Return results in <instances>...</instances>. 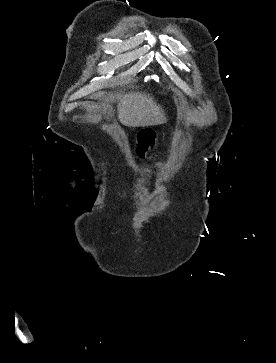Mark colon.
<instances>
[{"instance_id":"obj_1","label":"colon","mask_w":276,"mask_h":363,"mask_svg":"<svg viewBox=\"0 0 276 363\" xmlns=\"http://www.w3.org/2000/svg\"><path fill=\"white\" fill-rule=\"evenodd\" d=\"M155 134L147 129H144L139 134L138 151L144 154L154 143Z\"/></svg>"}]
</instances>
